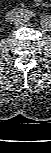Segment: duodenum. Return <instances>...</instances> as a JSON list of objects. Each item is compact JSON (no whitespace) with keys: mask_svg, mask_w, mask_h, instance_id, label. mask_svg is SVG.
Segmentation results:
<instances>
[{"mask_svg":"<svg viewBox=\"0 0 51 153\" xmlns=\"http://www.w3.org/2000/svg\"><path fill=\"white\" fill-rule=\"evenodd\" d=\"M33 13L30 10L26 9H20V8H15L7 12L6 18L11 19L15 17H22V16H31Z\"/></svg>","mask_w":51,"mask_h":153,"instance_id":"obj_1","label":"duodenum"}]
</instances>
